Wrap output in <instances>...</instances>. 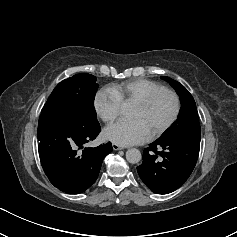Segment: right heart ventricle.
<instances>
[{
    "instance_id": "e07e8e85",
    "label": "right heart ventricle",
    "mask_w": 237,
    "mask_h": 237,
    "mask_svg": "<svg viewBox=\"0 0 237 237\" xmlns=\"http://www.w3.org/2000/svg\"><path fill=\"white\" fill-rule=\"evenodd\" d=\"M164 86L152 80L137 78L114 84L110 89L117 94L121 103H135Z\"/></svg>"
}]
</instances>
